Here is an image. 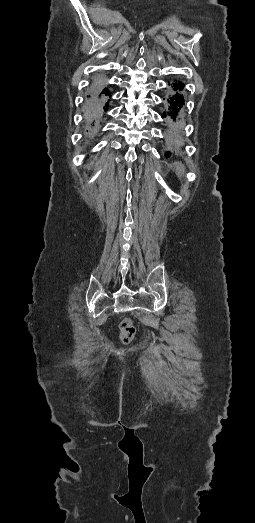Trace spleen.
Instances as JSON below:
<instances>
[{
  "label": "spleen",
  "instance_id": "1",
  "mask_svg": "<svg viewBox=\"0 0 255 523\" xmlns=\"http://www.w3.org/2000/svg\"><path fill=\"white\" fill-rule=\"evenodd\" d=\"M179 172H183V168H180Z\"/></svg>",
  "mask_w": 255,
  "mask_h": 523
}]
</instances>
